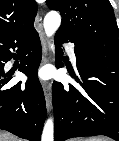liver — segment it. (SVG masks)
<instances>
[{
	"instance_id": "liver-1",
	"label": "liver",
	"mask_w": 119,
	"mask_h": 141,
	"mask_svg": "<svg viewBox=\"0 0 119 141\" xmlns=\"http://www.w3.org/2000/svg\"><path fill=\"white\" fill-rule=\"evenodd\" d=\"M0 141H18V140L12 134L0 131Z\"/></svg>"
}]
</instances>
